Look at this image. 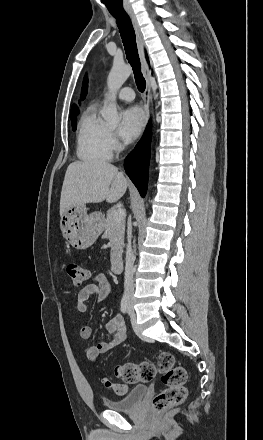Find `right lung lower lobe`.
Masks as SVG:
<instances>
[{"label": "right lung lower lobe", "instance_id": "right-lung-lower-lobe-1", "mask_svg": "<svg viewBox=\"0 0 263 440\" xmlns=\"http://www.w3.org/2000/svg\"><path fill=\"white\" fill-rule=\"evenodd\" d=\"M150 143L151 125L149 124L141 141L124 161L126 173L137 187L142 197L145 196L147 191Z\"/></svg>", "mask_w": 263, "mask_h": 440}]
</instances>
